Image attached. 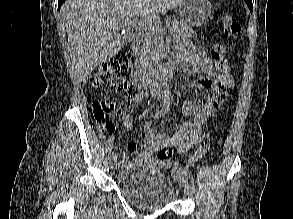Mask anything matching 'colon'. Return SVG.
I'll return each instance as SVG.
<instances>
[{
    "label": "colon",
    "instance_id": "1",
    "mask_svg": "<svg viewBox=\"0 0 293 219\" xmlns=\"http://www.w3.org/2000/svg\"><path fill=\"white\" fill-rule=\"evenodd\" d=\"M221 26L225 35L237 38L241 32V26L236 18L230 13H224L220 17ZM227 47L223 44H215L212 47V56L216 59V68L222 74H230L228 60L224 57ZM136 55L133 52L117 56L104 65L89 77L90 84L95 88H111L118 94H122L125 101L118 105L114 100H96L93 102V117L100 130L112 133L115 129V120L127 116L126 111L130 109L133 97L132 89L126 82L131 72ZM211 137L203 134L198 142V147L187 160V164L196 163L209 150ZM172 147H163L158 153V159L167 166H172ZM177 173L179 170L176 168Z\"/></svg>",
    "mask_w": 293,
    "mask_h": 219
}]
</instances>
